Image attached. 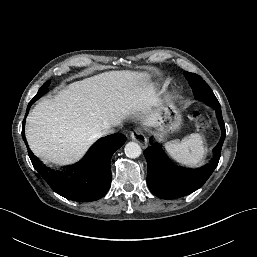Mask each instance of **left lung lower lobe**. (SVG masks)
Wrapping results in <instances>:
<instances>
[{
  "label": "left lung lower lobe",
  "instance_id": "obj_1",
  "mask_svg": "<svg viewBox=\"0 0 257 257\" xmlns=\"http://www.w3.org/2000/svg\"><path fill=\"white\" fill-rule=\"evenodd\" d=\"M214 108L220 121L222 137L213 149L211 161L198 169H189L176 165L157 142H154L152 138L149 139L151 146L144 150L148 165L147 184L155 196L162 199H175L186 196L199 189L213 173L218 165L226 136L221 106Z\"/></svg>",
  "mask_w": 257,
  "mask_h": 257
}]
</instances>
